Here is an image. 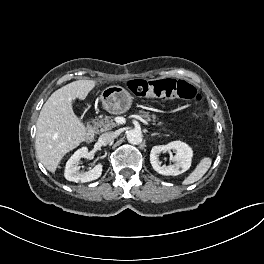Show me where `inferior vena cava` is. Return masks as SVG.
<instances>
[{
  "mask_svg": "<svg viewBox=\"0 0 264 264\" xmlns=\"http://www.w3.org/2000/svg\"><path fill=\"white\" fill-rule=\"evenodd\" d=\"M116 137L115 133L114 132H107V133H104L102 134L100 137H99V143L102 144V145H107L109 144L110 142H112L114 140V138Z\"/></svg>",
  "mask_w": 264,
  "mask_h": 264,
  "instance_id": "1",
  "label": "inferior vena cava"
}]
</instances>
